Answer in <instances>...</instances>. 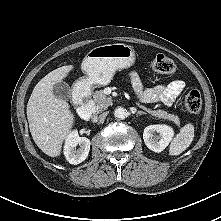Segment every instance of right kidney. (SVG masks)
Instances as JSON below:
<instances>
[{
  "mask_svg": "<svg viewBox=\"0 0 221 221\" xmlns=\"http://www.w3.org/2000/svg\"><path fill=\"white\" fill-rule=\"evenodd\" d=\"M90 140L86 137H80L76 130L70 132L66 137L64 146V155L70 164L77 165L83 162L90 151ZM79 146V148H76Z\"/></svg>",
  "mask_w": 221,
  "mask_h": 221,
  "instance_id": "ca27d5eb",
  "label": "right kidney"
}]
</instances>
